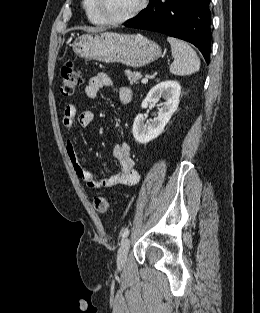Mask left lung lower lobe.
Segmentation results:
<instances>
[{
  "instance_id": "left-lung-lower-lobe-1",
  "label": "left lung lower lobe",
  "mask_w": 260,
  "mask_h": 313,
  "mask_svg": "<svg viewBox=\"0 0 260 313\" xmlns=\"http://www.w3.org/2000/svg\"><path fill=\"white\" fill-rule=\"evenodd\" d=\"M210 0H150L126 27L160 32L194 44L210 61Z\"/></svg>"
}]
</instances>
